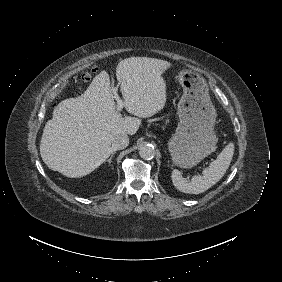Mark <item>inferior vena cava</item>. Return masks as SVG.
Segmentation results:
<instances>
[{
	"mask_svg": "<svg viewBox=\"0 0 282 282\" xmlns=\"http://www.w3.org/2000/svg\"><path fill=\"white\" fill-rule=\"evenodd\" d=\"M129 138L127 134H117L112 138V150H121L128 146Z\"/></svg>",
	"mask_w": 282,
	"mask_h": 282,
	"instance_id": "1",
	"label": "inferior vena cava"
}]
</instances>
